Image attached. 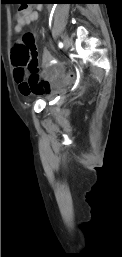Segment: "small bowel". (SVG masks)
<instances>
[{
    "label": "small bowel",
    "instance_id": "small-bowel-1",
    "mask_svg": "<svg viewBox=\"0 0 122 257\" xmlns=\"http://www.w3.org/2000/svg\"><path fill=\"white\" fill-rule=\"evenodd\" d=\"M40 10L41 7L38 6L36 9L27 7L19 11L15 17V32L20 33L26 26L38 20ZM41 63L43 69L40 73H37L35 78L32 75H28L24 68H15V79L19 84V90L22 95H46L50 93L52 85L61 81L64 84V80H67V73H64L63 67L56 63L49 48L43 50Z\"/></svg>",
    "mask_w": 122,
    "mask_h": 257
}]
</instances>
